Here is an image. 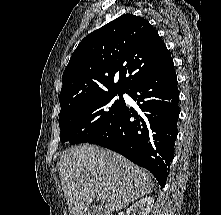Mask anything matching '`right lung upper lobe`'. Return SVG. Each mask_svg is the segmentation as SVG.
Instances as JSON below:
<instances>
[{
  "label": "right lung upper lobe",
  "mask_w": 221,
  "mask_h": 215,
  "mask_svg": "<svg viewBox=\"0 0 221 215\" xmlns=\"http://www.w3.org/2000/svg\"><path fill=\"white\" fill-rule=\"evenodd\" d=\"M170 59L146 19L122 15L86 36L73 52L62 77L61 108L105 93L127 92Z\"/></svg>",
  "instance_id": "1"
}]
</instances>
